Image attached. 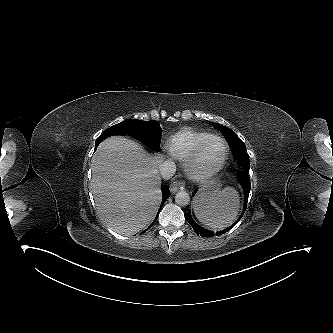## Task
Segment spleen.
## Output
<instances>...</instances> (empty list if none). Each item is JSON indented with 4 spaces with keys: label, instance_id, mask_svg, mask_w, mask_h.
<instances>
[{
    "label": "spleen",
    "instance_id": "obj_1",
    "mask_svg": "<svg viewBox=\"0 0 333 333\" xmlns=\"http://www.w3.org/2000/svg\"><path fill=\"white\" fill-rule=\"evenodd\" d=\"M238 192L226 187L210 196L198 195L194 200L196 218L216 230L224 229L236 219L239 211Z\"/></svg>",
    "mask_w": 333,
    "mask_h": 333
}]
</instances>
